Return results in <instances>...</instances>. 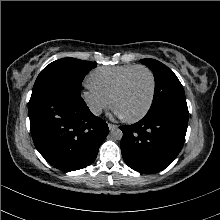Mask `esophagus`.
I'll use <instances>...</instances> for the list:
<instances>
[{"label": "esophagus", "mask_w": 220, "mask_h": 220, "mask_svg": "<svg viewBox=\"0 0 220 220\" xmlns=\"http://www.w3.org/2000/svg\"><path fill=\"white\" fill-rule=\"evenodd\" d=\"M108 127H109L110 130H114V129H116L118 126L115 125V124L109 123V124H108Z\"/></svg>", "instance_id": "34e87169"}]
</instances>
